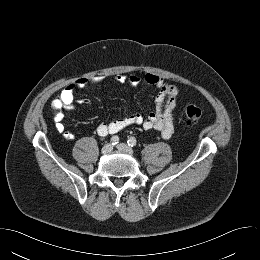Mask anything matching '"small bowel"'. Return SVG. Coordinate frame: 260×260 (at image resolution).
<instances>
[{
	"label": "small bowel",
	"instance_id": "c3829d8e",
	"mask_svg": "<svg viewBox=\"0 0 260 260\" xmlns=\"http://www.w3.org/2000/svg\"><path fill=\"white\" fill-rule=\"evenodd\" d=\"M105 79V76L95 75L80 78L67 85L59 96L61 108L74 110L76 90L101 83ZM114 80L118 84H128L131 87H137L141 82L140 76L136 74L130 76L119 74L115 76ZM144 81L148 85L158 89L153 111L148 116L134 113L111 122H102L97 126V133L99 136L104 137L109 134L118 133L131 125H139L146 130H157L164 139H168L172 136L174 132V118L178 108V86L169 83L164 78L154 73H147L144 77ZM55 126L65 139H74V135L67 131L63 124L62 109H60L55 116Z\"/></svg>",
	"mask_w": 260,
	"mask_h": 260
}]
</instances>
